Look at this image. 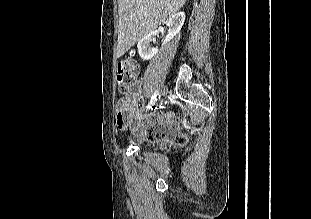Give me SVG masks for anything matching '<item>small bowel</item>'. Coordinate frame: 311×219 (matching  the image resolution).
Here are the masks:
<instances>
[{
    "instance_id": "c3829d8e",
    "label": "small bowel",
    "mask_w": 311,
    "mask_h": 219,
    "mask_svg": "<svg viewBox=\"0 0 311 219\" xmlns=\"http://www.w3.org/2000/svg\"><path fill=\"white\" fill-rule=\"evenodd\" d=\"M142 87L140 82H136L133 87V100L128 103L118 102L116 106V126L120 130H126L133 123H137L139 137L145 138L148 135L159 137L166 136L168 140L174 138L172 132L163 133L166 124H174L173 116L154 114L145 124H140V110L142 104ZM150 129V131H149Z\"/></svg>"
}]
</instances>
